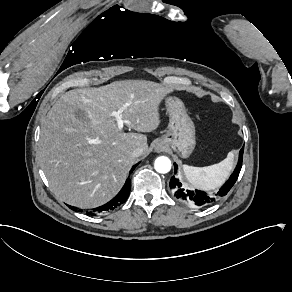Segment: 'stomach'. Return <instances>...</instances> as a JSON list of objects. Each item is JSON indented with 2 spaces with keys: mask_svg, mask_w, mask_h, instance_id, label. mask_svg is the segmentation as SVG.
Instances as JSON below:
<instances>
[{
  "mask_svg": "<svg viewBox=\"0 0 292 292\" xmlns=\"http://www.w3.org/2000/svg\"><path fill=\"white\" fill-rule=\"evenodd\" d=\"M166 110L169 114V124L165 135L155 144V151H164L170 146L183 158L189 157L193 152L195 140V126L187 114L184 103L177 97H169L165 101Z\"/></svg>",
  "mask_w": 292,
  "mask_h": 292,
  "instance_id": "stomach-1",
  "label": "stomach"
}]
</instances>
